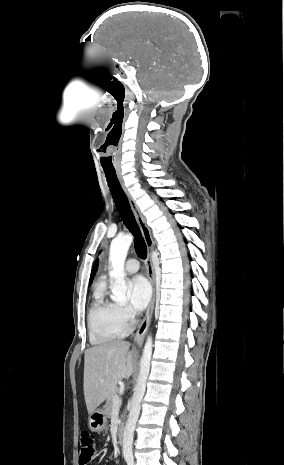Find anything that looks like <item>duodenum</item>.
I'll list each match as a JSON object with an SVG mask.
<instances>
[{
	"mask_svg": "<svg viewBox=\"0 0 284 465\" xmlns=\"http://www.w3.org/2000/svg\"><path fill=\"white\" fill-rule=\"evenodd\" d=\"M124 433H125L124 428H118L117 429V431H116V440H117L118 443H121L123 441Z\"/></svg>",
	"mask_w": 284,
	"mask_h": 465,
	"instance_id": "410a0bca",
	"label": "duodenum"
}]
</instances>
